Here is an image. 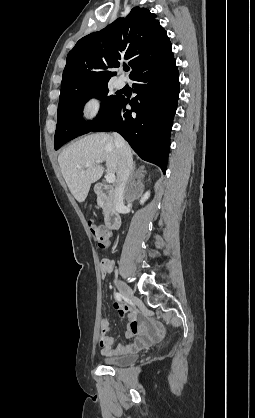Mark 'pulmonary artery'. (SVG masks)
<instances>
[{"label":"pulmonary artery","mask_w":255,"mask_h":418,"mask_svg":"<svg viewBox=\"0 0 255 418\" xmlns=\"http://www.w3.org/2000/svg\"><path fill=\"white\" fill-rule=\"evenodd\" d=\"M125 84H126V80L123 77H119L116 81V86L118 88H123L125 86Z\"/></svg>","instance_id":"e3ab8cb5"}]
</instances>
